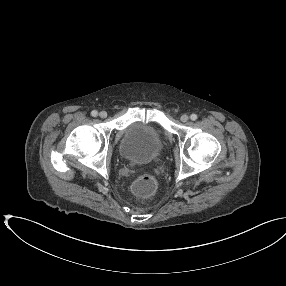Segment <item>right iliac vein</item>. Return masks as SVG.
<instances>
[{
	"mask_svg": "<svg viewBox=\"0 0 286 286\" xmlns=\"http://www.w3.org/2000/svg\"><path fill=\"white\" fill-rule=\"evenodd\" d=\"M99 116H100L101 118H106V117H107V112H106V111H101V112L99 113Z\"/></svg>",
	"mask_w": 286,
	"mask_h": 286,
	"instance_id": "63e3f726",
	"label": "right iliac vein"
}]
</instances>
